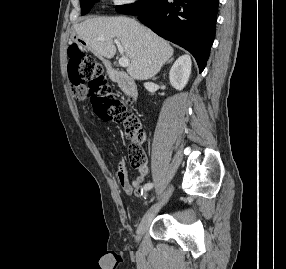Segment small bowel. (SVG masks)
I'll return each mask as SVG.
<instances>
[{"label": "small bowel", "instance_id": "obj_1", "mask_svg": "<svg viewBox=\"0 0 286 269\" xmlns=\"http://www.w3.org/2000/svg\"><path fill=\"white\" fill-rule=\"evenodd\" d=\"M85 93L81 90L78 98H84ZM139 174L132 180H129L128 176V169L123 160H120L117 164V168L115 171L116 181L119 187L127 194H132L134 190H138L145 179V176L148 173V166L147 164L143 165L142 167L138 168Z\"/></svg>", "mask_w": 286, "mask_h": 269}]
</instances>
